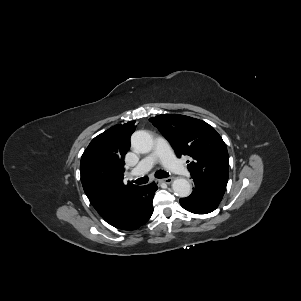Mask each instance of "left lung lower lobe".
Segmentation results:
<instances>
[{"instance_id":"0a47b994","label":"left lung lower lobe","mask_w":301,"mask_h":301,"mask_svg":"<svg viewBox=\"0 0 301 301\" xmlns=\"http://www.w3.org/2000/svg\"><path fill=\"white\" fill-rule=\"evenodd\" d=\"M194 191L189 197L181 198V206L195 214H207L214 211L221 202L225 189L210 185L199 179H193Z\"/></svg>"}]
</instances>
